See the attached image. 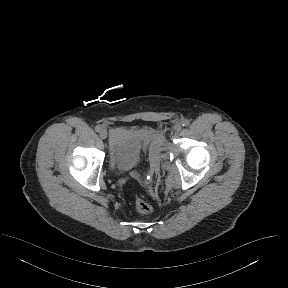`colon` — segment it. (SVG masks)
Instances as JSON below:
<instances>
[{
    "label": "colon",
    "instance_id": "obj_1",
    "mask_svg": "<svg viewBox=\"0 0 288 288\" xmlns=\"http://www.w3.org/2000/svg\"><path fill=\"white\" fill-rule=\"evenodd\" d=\"M135 210L139 214H148L152 211V206L143 198L136 197L134 201Z\"/></svg>",
    "mask_w": 288,
    "mask_h": 288
}]
</instances>
